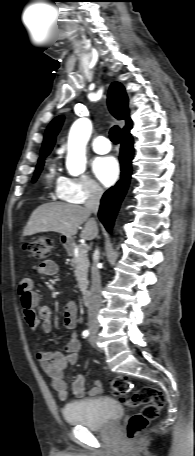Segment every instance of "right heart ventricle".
<instances>
[{
    "label": "right heart ventricle",
    "instance_id": "right-heart-ventricle-1",
    "mask_svg": "<svg viewBox=\"0 0 195 456\" xmlns=\"http://www.w3.org/2000/svg\"><path fill=\"white\" fill-rule=\"evenodd\" d=\"M63 179H64V177H61L57 174L56 166L54 164H52L46 173V181L50 186L55 187L56 193H57Z\"/></svg>",
    "mask_w": 195,
    "mask_h": 456
}]
</instances>
